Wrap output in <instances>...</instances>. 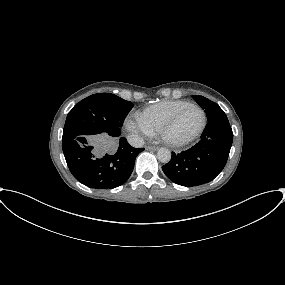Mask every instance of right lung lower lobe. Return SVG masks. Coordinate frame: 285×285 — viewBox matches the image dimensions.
<instances>
[{
	"label": "right lung lower lobe",
	"mask_w": 285,
	"mask_h": 285,
	"mask_svg": "<svg viewBox=\"0 0 285 285\" xmlns=\"http://www.w3.org/2000/svg\"><path fill=\"white\" fill-rule=\"evenodd\" d=\"M102 139L79 136L63 141L62 149L70 172L79 182L94 189H113L128 180L136 156L144 149L133 148L121 137L116 139L115 152L105 153Z\"/></svg>",
	"instance_id": "98d812e1"
}]
</instances>
